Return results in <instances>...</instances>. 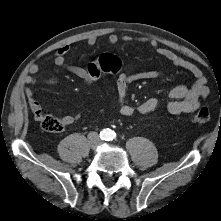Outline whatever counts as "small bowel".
Masks as SVG:
<instances>
[{
    "label": "small bowel",
    "instance_id": "1",
    "mask_svg": "<svg viewBox=\"0 0 221 221\" xmlns=\"http://www.w3.org/2000/svg\"><path fill=\"white\" fill-rule=\"evenodd\" d=\"M125 40H129V37H125ZM95 37H90L87 40L88 45L93 46L96 43ZM110 45H115L119 41V37L116 34H110L107 38ZM139 41L149 47H151L157 54L170 61L174 66L190 72L195 82L191 87L185 85H178L169 92L170 102L167 105L168 111L172 114L191 113L197 110L200 106V99L204 98L208 94V87L206 85V78L199 67L195 64L184 59L177 53L161 47L153 39L142 37ZM71 46L65 44L57 49L54 57V63L56 66L61 67L71 74L87 80L89 77L88 66H80L67 61V54L69 53ZM39 72V67L36 64L29 66V73L31 75L25 78V83L28 85H35L39 83L33 75ZM161 76L158 71H146L135 74L120 73L116 82L117 98L120 105V114L124 117H131L136 113L147 114L159 106V100L157 98H149L140 104L134 106L126 103V97L128 93V87L132 82L142 79H156ZM46 85L57 84V78L51 77L42 81ZM25 96L28 100V105L37 120L43 115L42 109L38 101L34 96V92L30 88L25 89ZM65 126L73 124L74 117L65 115L61 118Z\"/></svg>",
    "mask_w": 221,
    "mask_h": 221
}]
</instances>
